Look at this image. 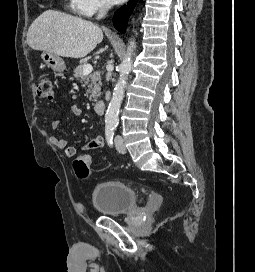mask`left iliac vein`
<instances>
[{
    "mask_svg": "<svg viewBox=\"0 0 255 272\" xmlns=\"http://www.w3.org/2000/svg\"><path fill=\"white\" fill-rule=\"evenodd\" d=\"M115 147H116L118 152L123 153V154L126 153V147H125V145L123 143V139L119 135H117L115 137Z\"/></svg>",
    "mask_w": 255,
    "mask_h": 272,
    "instance_id": "left-iliac-vein-1",
    "label": "left iliac vein"
}]
</instances>
